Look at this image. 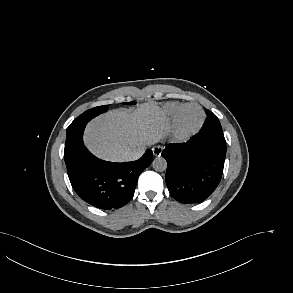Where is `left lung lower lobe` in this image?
Listing matches in <instances>:
<instances>
[{
    "instance_id": "left-lung-lower-lobe-1",
    "label": "left lung lower lobe",
    "mask_w": 293,
    "mask_h": 293,
    "mask_svg": "<svg viewBox=\"0 0 293 293\" xmlns=\"http://www.w3.org/2000/svg\"><path fill=\"white\" fill-rule=\"evenodd\" d=\"M225 155L222 128L208 121L186 143L167 144L162 156L168 164L166 184L171 196L181 203L204 201L221 180Z\"/></svg>"
}]
</instances>
